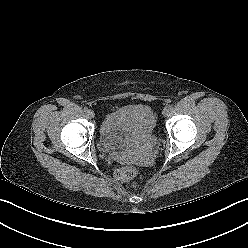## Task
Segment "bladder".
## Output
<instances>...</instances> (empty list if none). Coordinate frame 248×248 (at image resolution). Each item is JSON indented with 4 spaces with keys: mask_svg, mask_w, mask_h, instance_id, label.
I'll list each match as a JSON object with an SVG mask.
<instances>
[{
    "mask_svg": "<svg viewBox=\"0 0 248 248\" xmlns=\"http://www.w3.org/2000/svg\"><path fill=\"white\" fill-rule=\"evenodd\" d=\"M118 126L126 131V136L116 137L101 134L99 145L106 152L117 151L130 145L138 138H153L156 127V115L144 105H127L115 112Z\"/></svg>",
    "mask_w": 248,
    "mask_h": 248,
    "instance_id": "bladder-1",
    "label": "bladder"
}]
</instances>
